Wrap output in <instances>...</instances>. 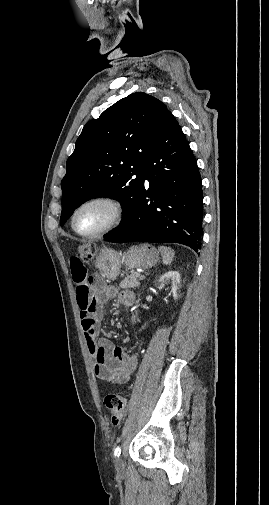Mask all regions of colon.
Listing matches in <instances>:
<instances>
[{
	"label": "colon",
	"mask_w": 269,
	"mask_h": 505,
	"mask_svg": "<svg viewBox=\"0 0 269 505\" xmlns=\"http://www.w3.org/2000/svg\"><path fill=\"white\" fill-rule=\"evenodd\" d=\"M94 253H95L94 246L80 245L78 247L77 254L73 256L71 259H81L84 264L83 268H85V262L89 261L93 257ZM104 404L109 412L112 423L115 425L119 424L123 420L126 413L127 408L126 399L122 395L116 393H110L104 398Z\"/></svg>",
	"instance_id": "1"
}]
</instances>
